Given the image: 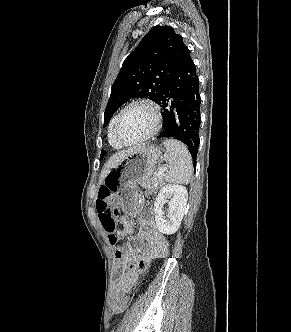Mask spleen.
I'll list each match as a JSON object with an SVG mask.
<instances>
[{"label":"spleen","instance_id":"3e777b00","mask_svg":"<svg viewBox=\"0 0 291 332\" xmlns=\"http://www.w3.org/2000/svg\"><path fill=\"white\" fill-rule=\"evenodd\" d=\"M163 145L166 148L164 160L169 166L165 180L170 183L188 184L193 174L192 157L188 148L175 139H167Z\"/></svg>","mask_w":291,"mask_h":332}]
</instances>
